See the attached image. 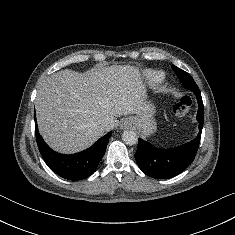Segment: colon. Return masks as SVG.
I'll list each match as a JSON object with an SVG mask.
<instances>
[{
	"label": "colon",
	"instance_id": "5ec220e1",
	"mask_svg": "<svg viewBox=\"0 0 235 235\" xmlns=\"http://www.w3.org/2000/svg\"><path fill=\"white\" fill-rule=\"evenodd\" d=\"M191 99L187 96L180 98L173 106V111L177 116H185L190 112Z\"/></svg>",
	"mask_w": 235,
	"mask_h": 235
}]
</instances>
